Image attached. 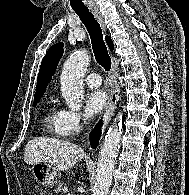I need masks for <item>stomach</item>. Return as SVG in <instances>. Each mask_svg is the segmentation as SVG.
Wrapping results in <instances>:
<instances>
[{
  "instance_id": "0dacf381",
  "label": "stomach",
  "mask_w": 189,
  "mask_h": 195,
  "mask_svg": "<svg viewBox=\"0 0 189 195\" xmlns=\"http://www.w3.org/2000/svg\"><path fill=\"white\" fill-rule=\"evenodd\" d=\"M31 170L35 179L47 188L55 186L60 177L59 170L48 162L34 164Z\"/></svg>"
}]
</instances>
